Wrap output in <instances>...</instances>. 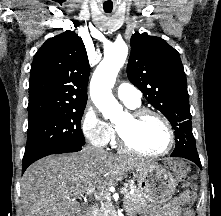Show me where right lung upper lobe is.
Wrapping results in <instances>:
<instances>
[{"label":"right lung upper lobe","instance_id":"cb5924a9","mask_svg":"<svg viewBox=\"0 0 221 216\" xmlns=\"http://www.w3.org/2000/svg\"><path fill=\"white\" fill-rule=\"evenodd\" d=\"M89 62L82 39L66 31L48 39L34 56L29 82V119L86 105Z\"/></svg>","mask_w":221,"mask_h":216}]
</instances>
